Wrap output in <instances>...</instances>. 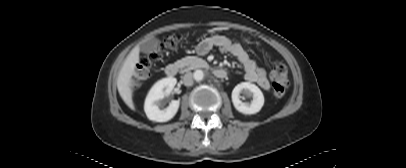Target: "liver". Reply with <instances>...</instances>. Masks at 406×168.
Returning <instances> with one entry per match:
<instances>
[{
	"label": "liver",
	"instance_id": "obj_1",
	"mask_svg": "<svg viewBox=\"0 0 406 168\" xmlns=\"http://www.w3.org/2000/svg\"><path fill=\"white\" fill-rule=\"evenodd\" d=\"M139 62V49L137 47L133 48L131 52L126 57L123 66L121 67L118 78H117V88L118 92L125 102V104L131 109L135 110L133 103V80L132 76L135 71L136 64Z\"/></svg>",
	"mask_w": 406,
	"mask_h": 168
}]
</instances>
